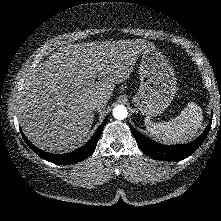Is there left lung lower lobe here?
Instances as JSON below:
<instances>
[{
	"instance_id": "left-lung-lower-lobe-1",
	"label": "left lung lower lobe",
	"mask_w": 221,
	"mask_h": 221,
	"mask_svg": "<svg viewBox=\"0 0 221 221\" xmlns=\"http://www.w3.org/2000/svg\"><path fill=\"white\" fill-rule=\"evenodd\" d=\"M212 120L207 125L204 132L194 141L182 145H163L157 143L135 130L131 125L130 128L136 139V142L142 152L156 160L181 161L190 156L203 143L211 128Z\"/></svg>"
}]
</instances>
